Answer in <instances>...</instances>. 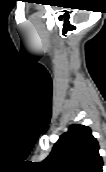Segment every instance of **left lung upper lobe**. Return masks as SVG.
<instances>
[{
  "label": "left lung upper lobe",
  "mask_w": 106,
  "mask_h": 172,
  "mask_svg": "<svg viewBox=\"0 0 106 172\" xmlns=\"http://www.w3.org/2000/svg\"><path fill=\"white\" fill-rule=\"evenodd\" d=\"M99 144L88 126L72 124L40 163L44 172H103Z\"/></svg>",
  "instance_id": "5c2ea615"
}]
</instances>
